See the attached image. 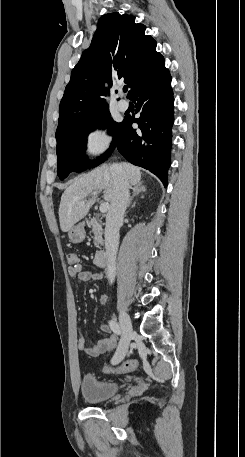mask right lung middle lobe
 <instances>
[{
	"mask_svg": "<svg viewBox=\"0 0 245 457\" xmlns=\"http://www.w3.org/2000/svg\"><path fill=\"white\" fill-rule=\"evenodd\" d=\"M113 135L108 152H111L118 141L121 123L114 122L108 108L95 112L89 116L71 121L57 128V174L61 180L72 171L80 172L86 166L85 156L88 134L96 128L108 127ZM103 158H107L104 155ZM102 160L93 163L97 166Z\"/></svg>",
	"mask_w": 245,
	"mask_h": 457,
	"instance_id": "right-lung-middle-lobe-1",
	"label": "right lung middle lobe"
}]
</instances>
